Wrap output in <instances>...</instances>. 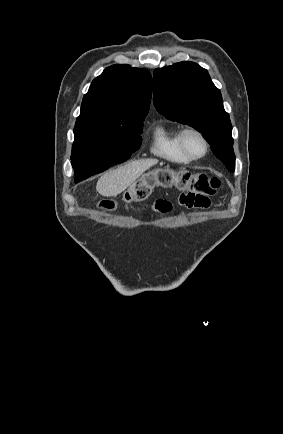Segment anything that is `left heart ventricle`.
Segmentation results:
<instances>
[{"label": "left heart ventricle", "mask_w": 283, "mask_h": 434, "mask_svg": "<svg viewBox=\"0 0 283 434\" xmlns=\"http://www.w3.org/2000/svg\"><path fill=\"white\" fill-rule=\"evenodd\" d=\"M186 144L188 149L195 155H198L203 151V144L201 140L194 134L187 136Z\"/></svg>", "instance_id": "b2bd125f"}]
</instances>
